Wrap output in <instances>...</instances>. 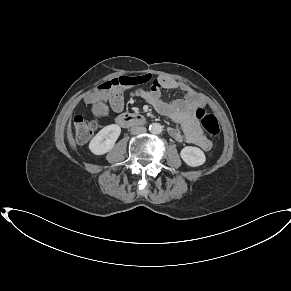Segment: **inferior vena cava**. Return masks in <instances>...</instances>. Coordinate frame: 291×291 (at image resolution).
<instances>
[{
    "mask_svg": "<svg viewBox=\"0 0 291 291\" xmlns=\"http://www.w3.org/2000/svg\"><path fill=\"white\" fill-rule=\"evenodd\" d=\"M146 132V128L143 126H133L131 127V133L134 135L143 134Z\"/></svg>",
    "mask_w": 291,
    "mask_h": 291,
    "instance_id": "602c4592",
    "label": "inferior vena cava"
}]
</instances>
